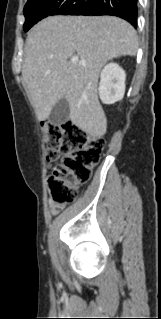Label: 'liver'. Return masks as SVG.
<instances>
[{
	"instance_id": "1",
	"label": "liver",
	"mask_w": 161,
	"mask_h": 319,
	"mask_svg": "<svg viewBox=\"0 0 161 319\" xmlns=\"http://www.w3.org/2000/svg\"><path fill=\"white\" fill-rule=\"evenodd\" d=\"M136 32L114 16H54L36 24L25 44L24 85L37 118H49L62 98L70 120L87 134L100 138L107 120L99 103L97 85L102 67L114 58L134 56ZM78 57L81 63L69 59Z\"/></svg>"
}]
</instances>
